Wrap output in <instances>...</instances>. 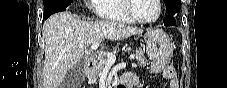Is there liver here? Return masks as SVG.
Instances as JSON below:
<instances>
[{
	"label": "liver",
	"instance_id": "6515ba94",
	"mask_svg": "<svg viewBox=\"0 0 227 88\" xmlns=\"http://www.w3.org/2000/svg\"><path fill=\"white\" fill-rule=\"evenodd\" d=\"M143 31L114 21H81L69 12L56 13L43 24L45 41L44 88H58L68 71L93 43L117 41Z\"/></svg>",
	"mask_w": 227,
	"mask_h": 88
}]
</instances>
